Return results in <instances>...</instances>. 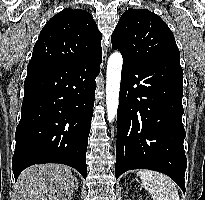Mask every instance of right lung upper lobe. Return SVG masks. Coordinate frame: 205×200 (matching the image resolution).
<instances>
[{
	"mask_svg": "<svg viewBox=\"0 0 205 200\" xmlns=\"http://www.w3.org/2000/svg\"><path fill=\"white\" fill-rule=\"evenodd\" d=\"M101 39L87 11L64 9L41 30L29 64H70L101 55Z\"/></svg>",
	"mask_w": 205,
	"mask_h": 200,
	"instance_id": "cb5924a9",
	"label": "right lung upper lobe"
}]
</instances>
